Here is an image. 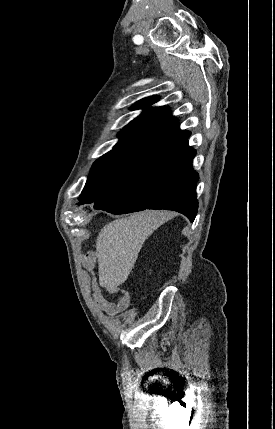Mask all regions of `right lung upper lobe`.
<instances>
[{
    "label": "right lung upper lobe",
    "mask_w": 275,
    "mask_h": 429,
    "mask_svg": "<svg viewBox=\"0 0 275 429\" xmlns=\"http://www.w3.org/2000/svg\"><path fill=\"white\" fill-rule=\"evenodd\" d=\"M159 97L138 101L131 109L144 111L119 133L112 151H123L149 159L186 140L191 133L179 129L178 120L165 107H150Z\"/></svg>",
    "instance_id": "1"
}]
</instances>
